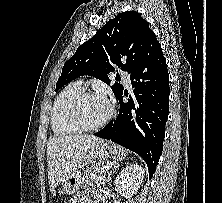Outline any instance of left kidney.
<instances>
[{"mask_svg":"<svg viewBox=\"0 0 222 203\" xmlns=\"http://www.w3.org/2000/svg\"><path fill=\"white\" fill-rule=\"evenodd\" d=\"M144 174L145 170L139 164L127 166L116 177L115 190L125 198L131 197L140 187Z\"/></svg>","mask_w":222,"mask_h":203,"instance_id":"left-kidney-1","label":"left kidney"}]
</instances>
